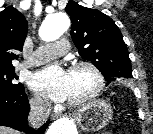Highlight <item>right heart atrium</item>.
<instances>
[{
    "mask_svg": "<svg viewBox=\"0 0 153 134\" xmlns=\"http://www.w3.org/2000/svg\"><path fill=\"white\" fill-rule=\"evenodd\" d=\"M31 106L36 111H45L47 109L48 103L46 99L38 94L31 98Z\"/></svg>",
    "mask_w": 153,
    "mask_h": 134,
    "instance_id": "d8ad5b80",
    "label": "right heart atrium"
}]
</instances>
